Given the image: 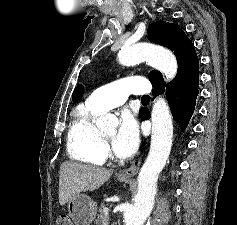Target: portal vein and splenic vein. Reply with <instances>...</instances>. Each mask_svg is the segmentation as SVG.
<instances>
[{
    "label": "portal vein and splenic vein",
    "mask_w": 237,
    "mask_h": 225,
    "mask_svg": "<svg viewBox=\"0 0 237 225\" xmlns=\"http://www.w3.org/2000/svg\"><path fill=\"white\" fill-rule=\"evenodd\" d=\"M103 211H104V216H105V217H108V215H109V209H108V207H104V208H103Z\"/></svg>",
    "instance_id": "portal-vein-and-splenic-vein-1"
}]
</instances>
